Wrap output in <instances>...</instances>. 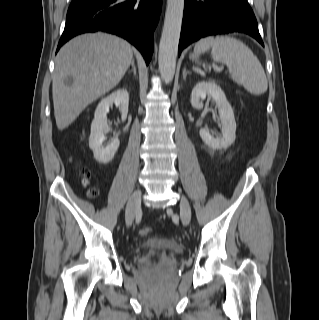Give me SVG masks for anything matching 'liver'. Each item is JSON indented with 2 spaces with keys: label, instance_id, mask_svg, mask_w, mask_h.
I'll return each instance as SVG.
<instances>
[{
  "label": "liver",
  "instance_id": "1",
  "mask_svg": "<svg viewBox=\"0 0 319 320\" xmlns=\"http://www.w3.org/2000/svg\"><path fill=\"white\" fill-rule=\"evenodd\" d=\"M133 60L130 43L107 33L79 35L55 59L53 105L59 130L67 128L93 101L113 89ZM71 77L73 83L66 85Z\"/></svg>",
  "mask_w": 319,
  "mask_h": 320
}]
</instances>
